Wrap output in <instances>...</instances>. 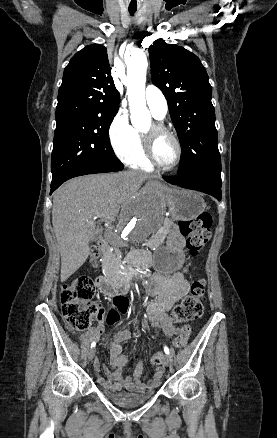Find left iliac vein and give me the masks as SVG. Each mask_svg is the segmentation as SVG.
I'll list each match as a JSON object with an SVG mask.
<instances>
[{
  "instance_id": "1",
  "label": "left iliac vein",
  "mask_w": 277,
  "mask_h": 438,
  "mask_svg": "<svg viewBox=\"0 0 277 438\" xmlns=\"http://www.w3.org/2000/svg\"><path fill=\"white\" fill-rule=\"evenodd\" d=\"M163 363L165 366H170L171 365V357L169 355H165L163 358Z\"/></svg>"
}]
</instances>
